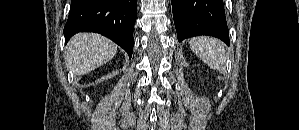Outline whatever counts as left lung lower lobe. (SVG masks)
Instances as JSON below:
<instances>
[{
  "label": "left lung lower lobe",
  "mask_w": 299,
  "mask_h": 130,
  "mask_svg": "<svg viewBox=\"0 0 299 130\" xmlns=\"http://www.w3.org/2000/svg\"><path fill=\"white\" fill-rule=\"evenodd\" d=\"M178 41L209 35L229 45L223 0H171Z\"/></svg>",
  "instance_id": "1"
}]
</instances>
